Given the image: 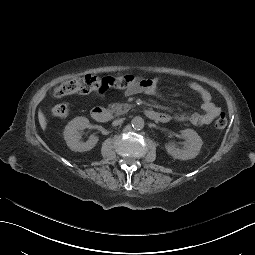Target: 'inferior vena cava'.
Here are the masks:
<instances>
[{
  "instance_id": "602c4592",
  "label": "inferior vena cava",
  "mask_w": 255,
  "mask_h": 255,
  "mask_svg": "<svg viewBox=\"0 0 255 255\" xmlns=\"http://www.w3.org/2000/svg\"><path fill=\"white\" fill-rule=\"evenodd\" d=\"M123 121H124L123 118L115 120V121H113L112 125L113 126L121 125L123 123Z\"/></svg>"
}]
</instances>
